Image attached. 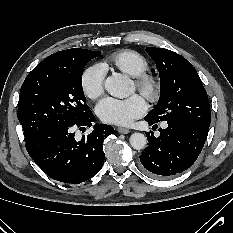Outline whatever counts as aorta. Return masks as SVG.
<instances>
[{
    "instance_id": "obj_1",
    "label": "aorta",
    "mask_w": 233,
    "mask_h": 233,
    "mask_svg": "<svg viewBox=\"0 0 233 233\" xmlns=\"http://www.w3.org/2000/svg\"><path fill=\"white\" fill-rule=\"evenodd\" d=\"M105 89L114 97H127L132 93L131 80L125 75L115 73L105 80ZM129 142L134 149L141 150L146 146L147 138L142 133H133Z\"/></svg>"
}]
</instances>
